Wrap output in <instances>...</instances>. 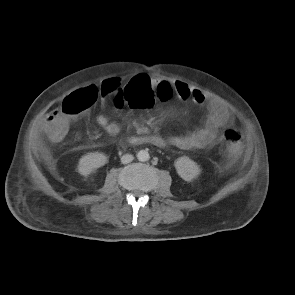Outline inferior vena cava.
I'll list each match as a JSON object with an SVG mask.
<instances>
[{
  "instance_id": "1",
  "label": "inferior vena cava",
  "mask_w": 295,
  "mask_h": 295,
  "mask_svg": "<svg viewBox=\"0 0 295 295\" xmlns=\"http://www.w3.org/2000/svg\"><path fill=\"white\" fill-rule=\"evenodd\" d=\"M134 159L133 155L131 154H125L121 157V162L123 164H128Z\"/></svg>"
}]
</instances>
